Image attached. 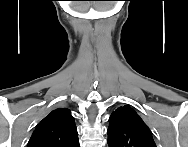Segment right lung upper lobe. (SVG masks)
<instances>
[{
    "mask_svg": "<svg viewBox=\"0 0 188 147\" xmlns=\"http://www.w3.org/2000/svg\"><path fill=\"white\" fill-rule=\"evenodd\" d=\"M77 135L70 110L58 108L37 125L28 147H79Z\"/></svg>",
    "mask_w": 188,
    "mask_h": 147,
    "instance_id": "1",
    "label": "right lung upper lobe"
}]
</instances>
